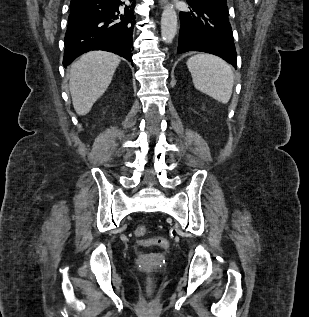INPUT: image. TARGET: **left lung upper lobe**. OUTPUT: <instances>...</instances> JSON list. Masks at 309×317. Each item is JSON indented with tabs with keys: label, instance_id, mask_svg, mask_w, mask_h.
Listing matches in <instances>:
<instances>
[{
	"label": "left lung upper lobe",
	"instance_id": "1",
	"mask_svg": "<svg viewBox=\"0 0 309 317\" xmlns=\"http://www.w3.org/2000/svg\"><path fill=\"white\" fill-rule=\"evenodd\" d=\"M189 4L228 10L226 0H187Z\"/></svg>",
	"mask_w": 309,
	"mask_h": 317
}]
</instances>
